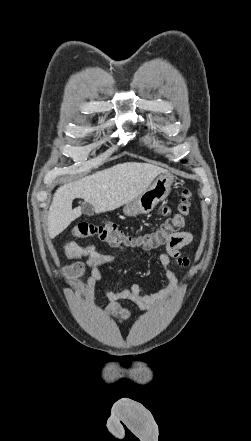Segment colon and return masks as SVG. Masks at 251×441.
Wrapping results in <instances>:
<instances>
[{"mask_svg":"<svg viewBox=\"0 0 251 441\" xmlns=\"http://www.w3.org/2000/svg\"><path fill=\"white\" fill-rule=\"evenodd\" d=\"M192 208V193L184 190L178 204V212L167 218L154 231L132 237L126 234L116 223L102 221L99 223L82 221L73 228V235L77 238L98 237L111 246L138 247L152 249L168 242L177 231L185 225Z\"/></svg>","mask_w":251,"mask_h":441,"instance_id":"5ec220e1","label":"colon"}]
</instances>
